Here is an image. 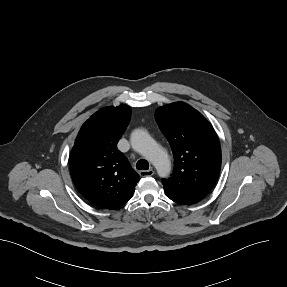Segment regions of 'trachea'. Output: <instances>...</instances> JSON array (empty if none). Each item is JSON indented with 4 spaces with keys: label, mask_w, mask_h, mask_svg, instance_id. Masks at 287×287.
<instances>
[{
    "label": "trachea",
    "mask_w": 287,
    "mask_h": 287,
    "mask_svg": "<svg viewBox=\"0 0 287 287\" xmlns=\"http://www.w3.org/2000/svg\"><path fill=\"white\" fill-rule=\"evenodd\" d=\"M136 168L138 170H148L149 169V163L146 160L141 159L136 163Z\"/></svg>",
    "instance_id": "3493384b"
}]
</instances>
